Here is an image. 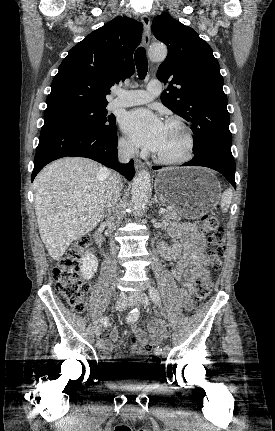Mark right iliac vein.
<instances>
[{
	"instance_id": "63e3f726",
	"label": "right iliac vein",
	"mask_w": 275,
	"mask_h": 431,
	"mask_svg": "<svg viewBox=\"0 0 275 431\" xmlns=\"http://www.w3.org/2000/svg\"><path fill=\"white\" fill-rule=\"evenodd\" d=\"M128 304V298L125 294H120L117 298V302H116V309L119 311H122L126 308ZM102 332V325H98L96 328V335L99 336Z\"/></svg>"
}]
</instances>
